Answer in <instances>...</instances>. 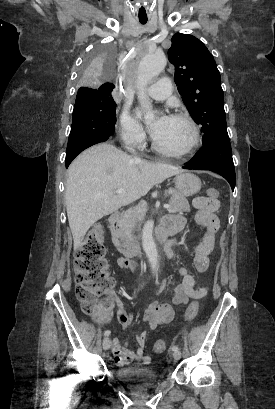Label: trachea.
Masks as SVG:
<instances>
[{
	"label": "trachea",
	"instance_id": "1",
	"mask_svg": "<svg viewBox=\"0 0 275 409\" xmlns=\"http://www.w3.org/2000/svg\"><path fill=\"white\" fill-rule=\"evenodd\" d=\"M139 22H140L141 24H145V23L147 22V20H139Z\"/></svg>",
	"mask_w": 275,
	"mask_h": 409
}]
</instances>
